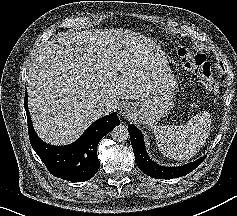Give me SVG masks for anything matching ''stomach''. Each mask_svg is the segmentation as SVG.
Here are the masks:
<instances>
[{
    "mask_svg": "<svg viewBox=\"0 0 237 216\" xmlns=\"http://www.w3.org/2000/svg\"><path fill=\"white\" fill-rule=\"evenodd\" d=\"M173 98V92L169 88L156 86L140 101L135 102L129 113L140 124L153 126L170 112Z\"/></svg>",
    "mask_w": 237,
    "mask_h": 216,
    "instance_id": "0dacf381",
    "label": "stomach"
}]
</instances>
